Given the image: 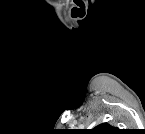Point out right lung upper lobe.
Listing matches in <instances>:
<instances>
[{
	"label": "right lung upper lobe",
	"mask_w": 145,
	"mask_h": 134,
	"mask_svg": "<svg viewBox=\"0 0 145 134\" xmlns=\"http://www.w3.org/2000/svg\"><path fill=\"white\" fill-rule=\"evenodd\" d=\"M116 130V128L110 126L109 124L103 123L95 127L93 132H96L97 134H110L114 133Z\"/></svg>",
	"instance_id": "obj_1"
}]
</instances>
